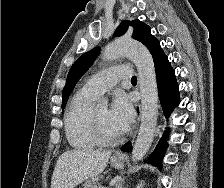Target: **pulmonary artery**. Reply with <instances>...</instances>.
Listing matches in <instances>:
<instances>
[{
  "label": "pulmonary artery",
  "mask_w": 224,
  "mask_h": 188,
  "mask_svg": "<svg viewBox=\"0 0 224 188\" xmlns=\"http://www.w3.org/2000/svg\"><path fill=\"white\" fill-rule=\"evenodd\" d=\"M131 76L132 70L130 67H109L92 76L83 86V90L95 97H99L107 90L114 87L119 80L127 79Z\"/></svg>",
  "instance_id": "obj_1"
}]
</instances>
